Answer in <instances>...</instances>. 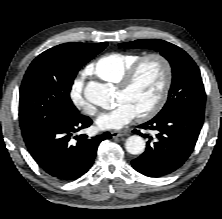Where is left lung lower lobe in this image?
<instances>
[{"instance_id": "obj_1", "label": "left lung lower lobe", "mask_w": 222, "mask_h": 219, "mask_svg": "<svg viewBox=\"0 0 222 219\" xmlns=\"http://www.w3.org/2000/svg\"><path fill=\"white\" fill-rule=\"evenodd\" d=\"M204 116L189 110L175 109L142 124L139 128L156 131V139L148 138L146 151L132 161L138 172L151 177L169 174L181 167L192 153L203 125Z\"/></svg>"}]
</instances>
